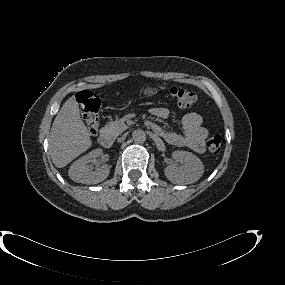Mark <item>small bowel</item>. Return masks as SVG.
Instances as JSON below:
<instances>
[{
  "label": "small bowel",
  "mask_w": 285,
  "mask_h": 285,
  "mask_svg": "<svg viewBox=\"0 0 285 285\" xmlns=\"http://www.w3.org/2000/svg\"><path fill=\"white\" fill-rule=\"evenodd\" d=\"M150 113L158 119H167L169 110L165 107H154ZM183 133L177 131H164L156 123H150L152 130L162 136L166 142L173 146L185 147L196 153L205 151L204 141L208 136V131L202 125V117L198 112L186 114L182 120Z\"/></svg>",
  "instance_id": "c3829d8e"
}]
</instances>
